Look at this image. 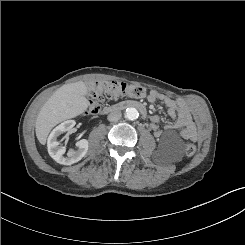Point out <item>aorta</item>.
Listing matches in <instances>:
<instances>
[{
	"instance_id": "1",
	"label": "aorta",
	"mask_w": 245,
	"mask_h": 245,
	"mask_svg": "<svg viewBox=\"0 0 245 245\" xmlns=\"http://www.w3.org/2000/svg\"><path fill=\"white\" fill-rule=\"evenodd\" d=\"M125 117L128 120H135V119H137L139 117V112H138V110L136 108L129 107L125 111Z\"/></svg>"
}]
</instances>
